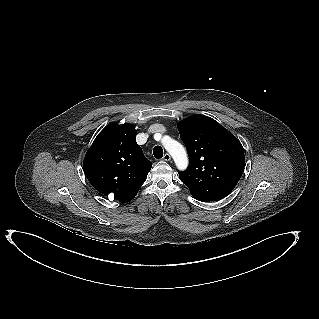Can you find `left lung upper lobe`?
<instances>
[{
    "instance_id": "left-lung-upper-lobe-1",
    "label": "left lung upper lobe",
    "mask_w": 319,
    "mask_h": 319,
    "mask_svg": "<svg viewBox=\"0 0 319 319\" xmlns=\"http://www.w3.org/2000/svg\"><path fill=\"white\" fill-rule=\"evenodd\" d=\"M178 130L189 155L186 171L178 172L192 196L208 201L226 197L237 185L245 166L240 141L214 119L192 115Z\"/></svg>"
}]
</instances>
